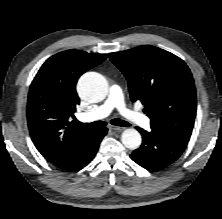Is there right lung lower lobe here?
<instances>
[{"instance_id":"obj_1","label":"right lung lower lobe","mask_w":222,"mask_h":219,"mask_svg":"<svg viewBox=\"0 0 222 219\" xmlns=\"http://www.w3.org/2000/svg\"><path fill=\"white\" fill-rule=\"evenodd\" d=\"M107 130V128L94 130L91 135L86 139L75 158L69 165L64 168V170L77 171L83 168L86 164H88L96 155V152L99 148V144L103 137L106 135Z\"/></svg>"}]
</instances>
